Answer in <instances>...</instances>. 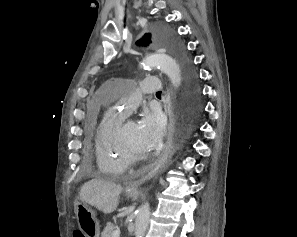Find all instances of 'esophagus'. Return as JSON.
<instances>
[{
    "label": "esophagus",
    "mask_w": 297,
    "mask_h": 237,
    "mask_svg": "<svg viewBox=\"0 0 297 237\" xmlns=\"http://www.w3.org/2000/svg\"><path fill=\"white\" fill-rule=\"evenodd\" d=\"M166 112L168 115V127H167V136H166V145L165 148L158 158V160L155 162V164L151 167V169L144 175L141 176V178L137 180L130 181L126 185V190L128 191H137L139 186L143 184L145 181L151 179L154 175H156L160 169L163 167L165 162L167 161L172 145H173V116L170 111V109L166 108Z\"/></svg>",
    "instance_id": "esophagus-1"
}]
</instances>
